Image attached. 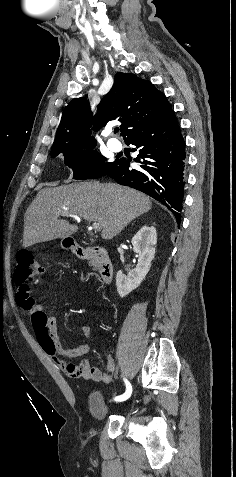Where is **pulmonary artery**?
<instances>
[{
  "instance_id": "obj_1",
  "label": "pulmonary artery",
  "mask_w": 236,
  "mask_h": 477,
  "mask_svg": "<svg viewBox=\"0 0 236 477\" xmlns=\"http://www.w3.org/2000/svg\"><path fill=\"white\" fill-rule=\"evenodd\" d=\"M109 148L114 151H118L121 148V143L115 138H109L107 141Z\"/></svg>"
}]
</instances>
